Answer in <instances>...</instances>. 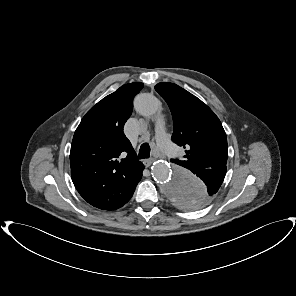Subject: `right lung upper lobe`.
I'll return each instance as SVG.
<instances>
[{"instance_id": "cb5924a9", "label": "right lung upper lobe", "mask_w": 296, "mask_h": 296, "mask_svg": "<svg viewBox=\"0 0 296 296\" xmlns=\"http://www.w3.org/2000/svg\"><path fill=\"white\" fill-rule=\"evenodd\" d=\"M142 83H129L106 96L83 117L75 131L70 166L72 181L92 206L115 210L125 205L143 166L123 127Z\"/></svg>"}]
</instances>
